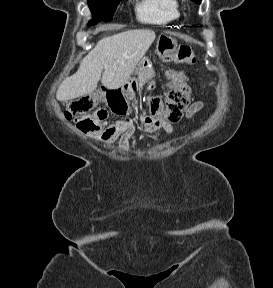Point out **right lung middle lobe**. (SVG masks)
Here are the masks:
<instances>
[{
  "label": "right lung middle lobe",
  "mask_w": 273,
  "mask_h": 288,
  "mask_svg": "<svg viewBox=\"0 0 273 288\" xmlns=\"http://www.w3.org/2000/svg\"><path fill=\"white\" fill-rule=\"evenodd\" d=\"M88 6L93 14V19L89 22L91 25L98 21L108 22L121 0H87Z\"/></svg>",
  "instance_id": "right-lung-middle-lobe-1"
}]
</instances>
